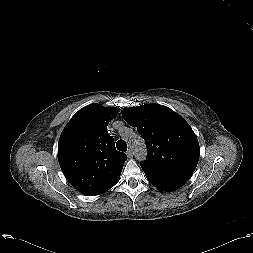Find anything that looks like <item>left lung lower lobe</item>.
<instances>
[{
	"label": "left lung lower lobe",
	"instance_id": "0a47b994",
	"mask_svg": "<svg viewBox=\"0 0 253 253\" xmlns=\"http://www.w3.org/2000/svg\"><path fill=\"white\" fill-rule=\"evenodd\" d=\"M147 180L162 191H174L183 186L192 176L194 171L172 168L154 167L141 164Z\"/></svg>",
	"mask_w": 253,
	"mask_h": 253
}]
</instances>
